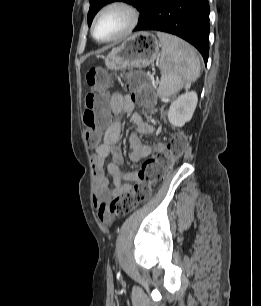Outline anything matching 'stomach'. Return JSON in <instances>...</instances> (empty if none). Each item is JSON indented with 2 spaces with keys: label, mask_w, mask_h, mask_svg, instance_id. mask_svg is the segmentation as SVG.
<instances>
[{
  "label": "stomach",
  "mask_w": 261,
  "mask_h": 306,
  "mask_svg": "<svg viewBox=\"0 0 261 306\" xmlns=\"http://www.w3.org/2000/svg\"><path fill=\"white\" fill-rule=\"evenodd\" d=\"M160 44L153 33L138 32L128 37L105 57V65L110 70L124 68H144L156 60Z\"/></svg>",
  "instance_id": "0dacf381"
}]
</instances>
